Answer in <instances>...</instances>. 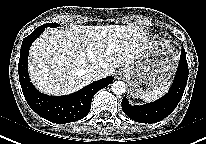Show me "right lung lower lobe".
<instances>
[{"label":"right lung lower lobe","instance_id":"obj_1","mask_svg":"<svg viewBox=\"0 0 206 144\" xmlns=\"http://www.w3.org/2000/svg\"><path fill=\"white\" fill-rule=\"evenodd\" d=\"M44 29V26L36 28L23 40L21 46L18 73L23 94L34 112L50 122L69 123L78 121L89 113L95 93L109 85L113 81V77L100 79L66 96H47L40 93L30 82L27 64L29 48Z\"/></svg>","mask_w":206,"mask_h":144}]
</instances>
